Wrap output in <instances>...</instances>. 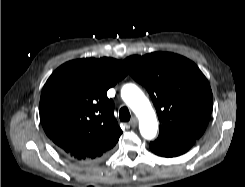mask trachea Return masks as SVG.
<instances>
[{"mask_svg":"<svg viewBox=\"0 0 245 187\" xmlns=\"http://www.w3.org/2000/svg\"><path fill=\"white\" fill-rule=\"evenodd\" d=\"M119 118L123 122H127L130 120V112L127 107H122L119 111Z\"/></svg>","mask_w":245,"mask_h":187,"instance_id":"1","label":"trachea"}]
</instances>
